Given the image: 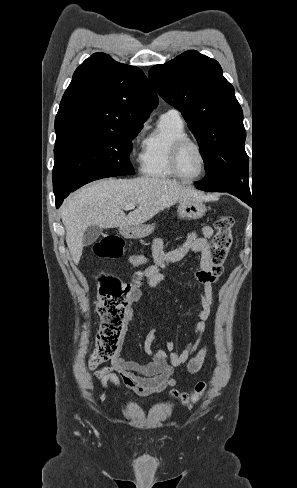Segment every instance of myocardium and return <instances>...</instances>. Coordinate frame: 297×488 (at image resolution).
I'll list each match as a JSON object with an SVG mask.
<instances>
[{"label": "myocardium", "mask_w": 297, "mask_h": 488, "mask_svg": "<svg viewBox=\"0 0 297 488\" xmlns=\"http://www.w3.org/2000/svg\"><path fill=\"white\" fill-rule=\"evenodd\" d=\"M187 145H193V146H195L197 148V150L200 153L201 162H202L201 170L199 171L198 174H196L195 176H192V177L185 176L180 171L179 164H178L179 163L180 154H181L183 148L185 146H187ZM169 166H170V169L173 172V174L176 177H178L179 179L184 180V181H187V182L196 181V180H198L199 178H201L206 173V170H207V155H206V151H205V149L203 148V146L198 141H196L193 138H190L189 136H185V137L179 138L178 140H176L173 143V145L171 147L170 154H169Z\"/></svg>", "instance_id": "1"}]
</instances>
